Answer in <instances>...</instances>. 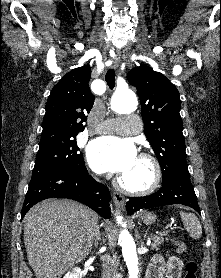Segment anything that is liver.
Listing matches in <instances>:
<instances>
[{
  "instance_id": "liver-1",
  "label": "liver",
  "mask_w": 221,
  "mask_h": 278,
  "mask_svg": "<svg viewBox=\"0 0 221 278\" xmlns=\"http://www.w3.org/2000/svg\"><path fill=\"white\" fill-rule=\"evenodd\" d=\"M98 215L68 199H48L24 218L27 258L36 278H60L85 259L93 246Z\"/></svg>"
}]
</instances>
